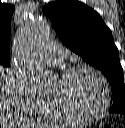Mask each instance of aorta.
Masks as SVG:
<instances>
[{
    "mask_svg": "<svg viewBox=\"0 0 125 128\" xmlns=\"http://www.w3.org/2000/svg\"><path fill=\"white\" fill-rule=\"evenodd\" d=\"M48 25L40 19H27L14 39V50L18 67L40 90L53 85L52 73L38 56V50L47 40Z\"/></svg>",
    "mask_w": 125,
    "mask_h": 128,
    "instance_id": "obj_1",
    "label": "aorta"
}]
</instances>
